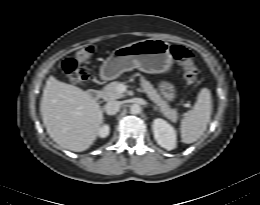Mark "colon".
Returning a JSON list of instances; mask_svg holds the SVG:
<instances>
[{"label": "colon", "mask_w": 260, "mask_h": 205, "mask_svg": "<svg viewBox=\"0 0 260 205\" xmlns=\"http://www.w3.org/2000/svg\"><path fill=\"white\" fill-rule=\"evenodd\" d=\"M94 53L95 47L93 45L83 46L63 61L62 70L71 84L81 85L87 80L88 71L83 65L91 60ZM171 53L173 58L184 67L186 82L188 84L195 83L198 77V68L193 53L188 48L178 44L172 46Z\"/></svg>", "instance_id": "5ec220e1"}]
</instances>
